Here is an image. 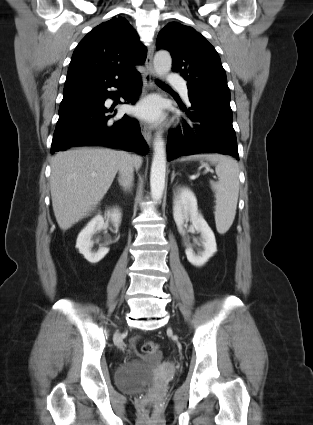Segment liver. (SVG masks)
I'll return each mask as SVG.
<instances>
[{"label": "liver", "mask_w": 313, "mask_h": 425, "mask_svg": "<svg viewBox=\"0 0 313 425\" xmlns=\"http://www.w3.org/2000/svg\"><path fill=\"white\" fill-rule=\"evenodd\" d=\"M124 151L78 148L57 153L51 163L52 206L59 227L65 231L89 216L110 188ZM136 167L142 158L132 156Z\"/></svg>", "instance_id": "1"}]
</instances>
